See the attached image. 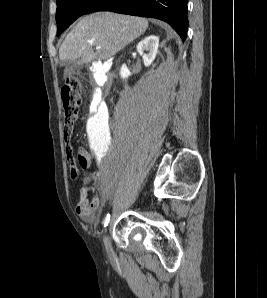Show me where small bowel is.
<instances>
[{"label": "small bowel", "instance_id": "obj_1", "mask_svg": "<svg viewBox=\"0 0 267 298\" xmlns=\"http://www.w3.org/2000/svg\"><path fill=\"white\" fill-rule=\"evenodd\" d=\"M85 179L89 183L92 180V174L89 172L86 173ZM91 190L92 188L90 186H84L80 190V199L76 206V212L84 221L94 224L98 221V213L110 198L111 193L104 192L101 196L95 195L90 199L89 192Z\"/></svg>", "mask_w": 267, "mask_h": 298}]
</instances>
